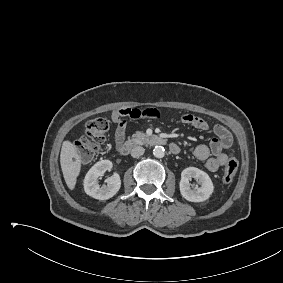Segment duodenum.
I'll use <instances>...</instances> for the list:
<instances>
[{"label": "duodenum", "instance_id": "1", "mask_svg": "<svg viewBox=\"0 0 283 283\" xmlns=\"http://www.w3.org/2000/svg\"><path fill=\"white\" fill-rule=\"evenodd\" d=\"M146 142L149 145L155 146V145H166L167 144V140L161 136H150L149 138H147ZM138 145V141L136 140H129L125 143H123L122 145L119 146L118 148V152L120 155L125 156L127 154H129L131 152V150L133 148H135ZM170 150L172 153L176 154L178 153V149L176 148V146L174 144H170Z\"/></svg>", "mask_w": 283, "mask_h": 283}]
</instances>
